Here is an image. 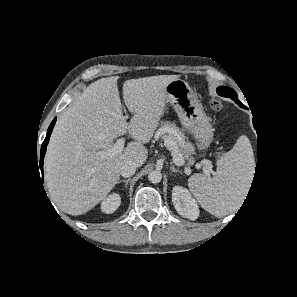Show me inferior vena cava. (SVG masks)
Listing matches in <instances>:
<instances>
[{
    "instance_id": "602c4592",
    "label": "inferior vena cava",
    "mask_w": 297,
    "mask_h": 297,
    "mask_svg": "<svg viewBox=\"0 0 297 297\" xmlns=\"http://www.w3.org/2000/svg\"><path fill=\"white\" fill-rule=\"evenodd\" d=\"M138 165L134 161H126L121 167H120V175L123 177H131L134 175Z\"/></svg>"
}]
</instances>
